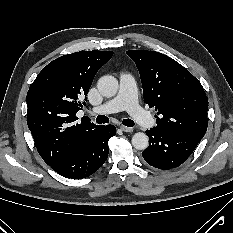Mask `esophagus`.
Listing matches in <instances>:
<instances>
[{
  "instance_id": "esophagus-1",
  "label": "esophagus",
  "mask_w": 233,
  "mask_h": 233,
  "mask_svg": "<svg viewBox=\"0 0 233 233\" xmlns=\"http://www.w3.org/2000/svg\"><path fill=\"white\" fill-rule=\"evenodd\" d=\"M120 129L124 132H132L133 128L127 126H121Z\"/></svg>"
}]
</instances>
